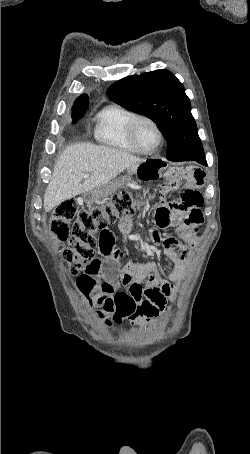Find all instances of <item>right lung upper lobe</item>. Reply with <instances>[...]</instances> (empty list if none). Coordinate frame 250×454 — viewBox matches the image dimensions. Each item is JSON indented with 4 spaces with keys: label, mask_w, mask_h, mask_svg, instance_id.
Instances as JSON below:
<instances>
[{
    "label": "right lung upper lobe",
    "mask_w": 250,
    "mask_h": 454,
    "mask_svg": "<svg viewBox=\"0 0 250 454\" xmlns=\"http://www.w3.org/2000/svg\"><path fill=\"white\" fill-rule=\"evenodd\" d=\"M89 102V97L87 94L81 95L74 103V105Z\"/></svg>",
    "instance_id": "cb5924a9"
}]
</instances>
